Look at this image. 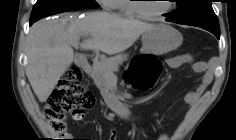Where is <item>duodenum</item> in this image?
I'll use <instances>...</instances> for the list:
<instances>
[{
    "mask_svg": "<svg viewBox=\"0 0 236 140\" xmlns=\"http://www.w3.org/2000/svg\"><path fill=\"white\" fill-rule=\"evenodd\" d=\"M77 63L80 67H82L85 71L89 72L91 69V65L89 63L88 58L85 55H78L77 56ZM113 109L120 114H125L127 109L122 104H114L112 105Z\"/></svg>",
    "mask_w": 236,
    "mask_h": 140,
    "instance_id": "obj_1",
    "label": "duodenum"
}]
</instances>
